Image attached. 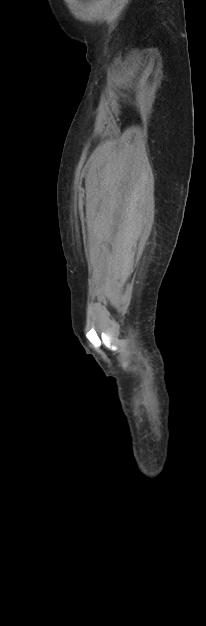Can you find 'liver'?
I'll return each instance as SVG.
<instances>
[{
  "label": "liver",
  "instance_id": "1",
  "mask_svg": "<svg viewBox=\"0 0 206 626\" xmlns=\"http://www.w3.org/2000/svg\"><path fill=\"white\" fill-rule=\"evenodd\" d=\"M87 211H88V214H92L89 208H88V210H87Z\"/></svg>",
  "mask_w": 206,
  "mask_h": 626
}]
</instances>
